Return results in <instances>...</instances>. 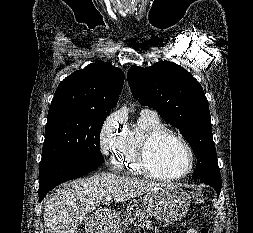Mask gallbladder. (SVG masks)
Masks as SVG:
<instances>
[{
  "label": "gallbladder",
  "mask_w": 253,
  "mask_h": 233,
  "mask_svg": "<svg viewBox=\"0 0 253 233\" xmlns=\"http://www.w3.org/2000/svg\"><path fill=\"white\" fill-rule=\"evenodd\" d=\"M86 222H87V218L86 219H83V220H81V224H86Z\"/></svg>",
  "instance_id": "bac80fb5"
}]
</instances>
